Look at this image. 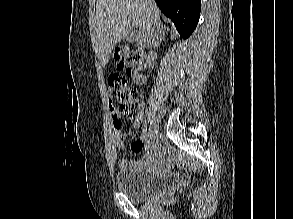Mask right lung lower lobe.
Returning <instances> with one entry per match:
<instances>
[{"label": "right lung lower lobe", "mask_w": 293, "mask_h": 219, "mask_svg": "<svg viewBox=\"0 0 293 219\" xmlns=\"http://www.w3.org/2000/svg\"><path fill=\"white\" fill-rule=\"evenodd\" d=\"M161 11L175 24L183 38H188L197 26L201 0H155Z\"/></svg>", "instance_id": "right-lung-lower-lobe-1"}]
</instances>
